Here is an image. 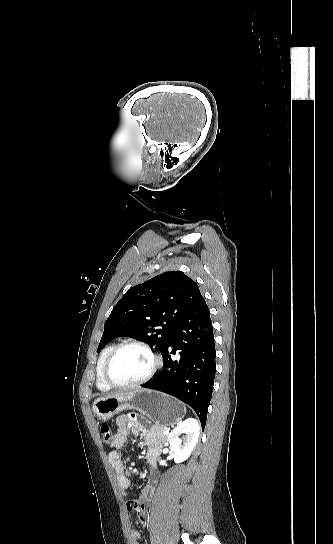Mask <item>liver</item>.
Instances as JSON below:
<instances>
[{"mask_svg":"<svg viewBox=\"0 0 333 544\" xmlns=\"http://www.w3.org/2000/svg\"><path fill=\"white\" fill-rule=\"evenodd\" d=\"M125 393H127V392H125ZM118 394H123V393H115V394H113L111 396H115V395H118Z\"/></svg>","mask_w":333,"mask_h":544,"instance_id":"1","label":"liver"}]
</instances>
